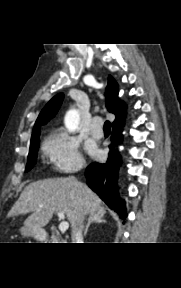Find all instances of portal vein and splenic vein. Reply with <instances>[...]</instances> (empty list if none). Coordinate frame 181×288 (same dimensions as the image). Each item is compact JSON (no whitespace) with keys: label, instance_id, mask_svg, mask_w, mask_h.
Segmentation results:
<instances>
[{"label":"portal vein and splenic vein","instance_id":"portal-vein-and-splenic-vein-1","mask_svg":"<svg viewBox=\"0 0 181 288\" xmlns=\"http://www.w3.org/2000/svg\"><path fill=\"white\" fill-rule=\"evenodd\" d=\"M57 215L59 219L62 220L59 224V230L65 232L69 228V223L65 221V215L63 212H58Z\"/></svg>","mask_w":181,"mask_h":288}]
</instances>
